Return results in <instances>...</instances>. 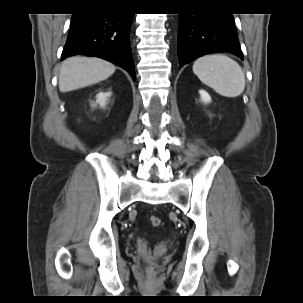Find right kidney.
<instances>
[{"label":"right kidney","instance_id":"right-kidney-1","mask_svg":"<svg viewBox=\"0 0 303 303\" xmlns=\"http://www.w3.org/2000/svg\"><path fill=\"white\" fill-rule=\"evenodd\" d=\"M111 95L110 92H107V93H103V92H100L97 94V100H96V103H99L100 106L104 107L106 105V101H107V98Z\"/></svg>","mask_w":303,"mask_h":303}]
</instances>
